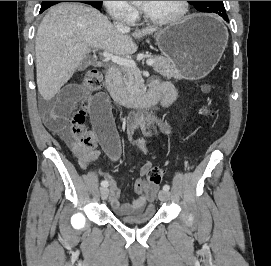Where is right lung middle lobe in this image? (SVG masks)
Returning a JSON list of instances; mask_svg holds the SVG:
<instances>
[{
	"instance_id": "1",
	"label": "right lung middle lobe",
	"mask_w": 271,
	"mask_h": 266,
	"mask_svg": "<svg viewBox=\"0 0 271 266\" xmlns=\"http://www.w3.org/2000/svg\"><path fill=\"white\" fill-rule=\"evenodd\" d=\"M60 2H64V1H42L41 9L45 10L49 8L50 6H53ZM68 2H71V1H68ZM81 2L95 5L98 8L102 6V1H81Z\"/></svg>"
}]
</instances>
